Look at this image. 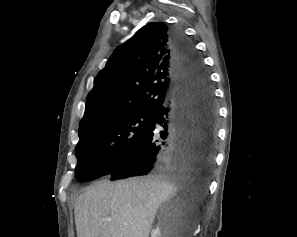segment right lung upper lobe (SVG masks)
<instances>
[{
  "instance_id": "obj_1",
  "label": "right lung upper lobe",
  "mask_w": 297,
  "mask_h": 237,
  "mask_svg": "<svg viewBox=\"0 0 297 237\" xmlns=\"http://www.w3.org/2000/svg\"><path fill=\"white\" fill-rule=\"evenodd\" d=\"M172 63L171 29L163 22L142 27L96 76L79 133L98 121L154 112L169 102L178 89Z\"/></svg>"
}]
</instances>
